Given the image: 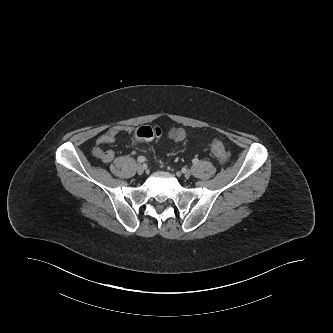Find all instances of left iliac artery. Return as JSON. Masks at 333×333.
Wrapping results in <instances>:
<instances>
[{"label":"left iliac artery","mask_w":333,"mask_h":333,"mask_svg":"<svg viewBox=\"0 0 333 333\" xmlns=\"http://www.w3.org/2000/svg\"><path fill=\"white\" fill-rule=\"evenodd\" d=\"M199 162V159L198 158H194L193 160H192V163L193 164H197Z\"/></svg>","instance_id":"44dca946"}]
</instances>
